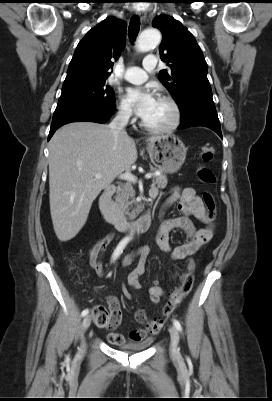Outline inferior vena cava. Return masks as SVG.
<instances>
[{
    "mask_svg": "<svg viewBox=\"0 0 272 401\" xmlns=\"http://www.w3.org/2000/svg\"><path fill=\"white\" fill-rule=\"evenodd\" d=\"M131 112L129 110H121L109 124L113 136L117 140L118 137H128L125 127L129 121Z\"/></svg>",
    "mask_w": 272,
    "mask_h": 401,
    "instance_id": "inferior-vena-cava-1",
    "label": "inferior vena cava"
}]
</instances>
